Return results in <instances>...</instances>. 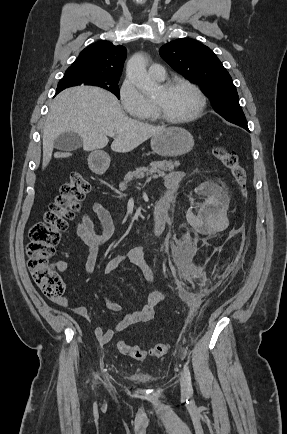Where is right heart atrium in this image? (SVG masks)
I'll use <instances>...</instances> for the list:
<instances>
[{
  "mask_svg": "<svg viewBox=\"0 0 287 434\" xmlns=\"http://www.w3.org/2000/svg\"><path fill=\"white\" fill-rule=\"evenodd\" d=\"M119 99L125 112L140 116L149 108L150 102L130 78H125L119 89Z\"/></svg>",
  "mask_w": 287,
  "mask_h": 434,
  "instance_id": "obj_1",
  "label": "right heart atrium"
}]
</instances>
